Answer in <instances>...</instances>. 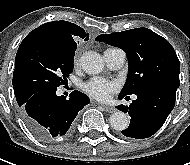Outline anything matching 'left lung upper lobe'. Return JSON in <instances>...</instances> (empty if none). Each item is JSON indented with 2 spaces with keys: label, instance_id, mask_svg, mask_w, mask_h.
Listing matches in <instances>:
<instances>
[{
  "label": "left lung upper lobe",
  "instance_id": "1",
  "mask_svg": "<svg viewBox=\"0 0 190 165\" xmlns=\"http://www.w3.org/2000/svg\"><path fill=\"white\" fill-rule=\"evenodd\" d=\"M97 41L126 52L129 70L120 96L135 94L155 84L179 87L180 63L171 44L147 28L102 34Z\"/></svg>",
  "mask_w": 190,
  "mask_h": 165
}]
</instances>
